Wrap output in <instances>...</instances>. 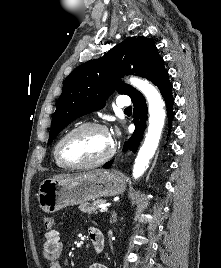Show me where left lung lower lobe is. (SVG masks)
I'll list each match as a JSON object with an SVG mask.
<instances>
[{
	"mask_svg": "<svg viewBox=\"0 0 221 268\" xmlns=\"http://www.w3.org/2000/svg\"><path fill=\"white\" fill-rule=\"evenodd\" d=\"M160 90L161 95L163 96L168 112L169 119V128H171V121L173 119L172 105L174 103V99L172 97V85L169 81V78H165L162 80L157 86ZM134 104L133 109V123L135 125V131L133 135L128 139L127 142L124 143L123 151L131 150L134 153L137 151V148L140 144V141L143 137V133L146 126L147 120V105L145 102V98L143 95H139L132 99ZM170 132V130H169ZM113 160L107 162L103 167L109 168L111 167Z\"/></svg>",
	"mask_w": 221,
	"mask_h": 268,
	"instance_id": "left-lung-lower-lobe-1",
	"label": "left lung lower lobe"
}]
</instances>
